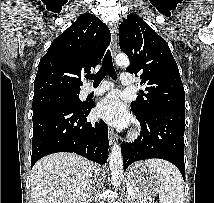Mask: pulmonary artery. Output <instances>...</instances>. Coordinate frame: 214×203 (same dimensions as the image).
I'll use <instances>...</instances> for the list:
<instances>
[{
  "instance_id": "obj_1",
  "label": "pulmonary artery",
  "mask_w": 214,
  "mask_h": 203,
  "mask_svg": "<svg viewBox=\"0 0 214 203\" xmlns=\"http://www.w3.org/2000/svg\"><path fill=\"white\" fill-rule=\"evenodd\" d=\"M120 82L124 86H132L135 84V81L131 77L130 73H122L120 75ZM112 86L113 84L111 82H102L97 88H87L85 91V95H99L111 89Z\"/></svg>"
}]
</instances>
